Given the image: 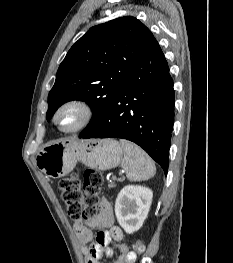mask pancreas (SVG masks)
I'll return each instance as SVG.
<instances>
[{
	"mask_svg": "<svg viewBox=\"0 0 233 263\" xmlns=\"http://www.w3.org/2000/svg\"><path fill=\"white\" fill-rule=\"evenodd\" d=\"M108 187H109V188H112V187H114V184L111 183V184L108 185Z\"/></svg>",
	"mask_w": 233,
	"mask_h": 263,
	"instance_id": "obj_1",
	"label": "pancreas"
}]
</instances>
